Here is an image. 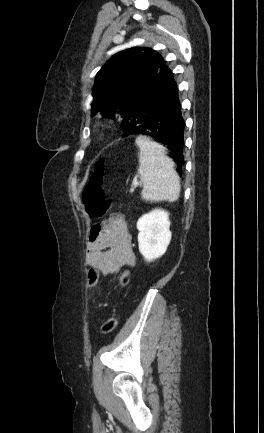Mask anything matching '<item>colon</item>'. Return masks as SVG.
<instances>
[{
  "label": "colon",
  "mask_w": 264,
  "mask_h": 433,
  "mask_svg": "<svg viewBox=\"0 0 264 433\" xmlns=\"http://www.w3.org/2000/svg\"><path fill=\"white\" fill-rule=\"evenodd\" d=\"M106 161L99 159L90 174L89 180L83 191V199L86 204L87 211L94 217L104 216L110 208V202L106 199L103 191V180L105 173ZM99 280V271L96 268H91L87 273V287L94 288ZM130 281V275L127 270H123L119 274V283L121 286H127ZM117 326V318L115 315H110L101 327V332L108 334Z\"/></svg>",
  "instance_id": "colon-1"
}]
</instances>
